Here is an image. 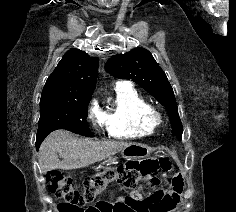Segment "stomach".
I'll return each instance as SVG.
<instances>
[{
  "mask_svg": "<svg viewBox=\"0 0 236 212\" xmlns=\"http://www.w3.org/2000/svg\"><path fill=\"white\" fill-rule=\"evenodd\" d=\"M151 151L152 149L146 145L133 143L129 145L128 147L124 148L121 151V155L123 158H126V159H141V158L148 157ZM116 163H117L116 158H113V157H110L106 161L107 165L116 164Z\"/></svg>",
  "mask_w": 236,
  "mask_h": 212,
  "instance_id": "obj_1",
  "label": "stomach"
}]
</instances>
